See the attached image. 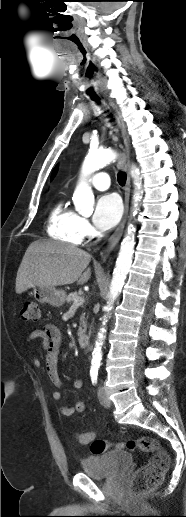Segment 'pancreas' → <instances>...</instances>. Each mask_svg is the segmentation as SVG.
Masks as SVG:
<instances>
[{
	"mask_svg": "<svg viewBox=\"0 0 186 517\" xmlns=\"http://www.w3.org/2000/svg\"><path fill=\"white\" fill-rule=\"evenodd\" d=\"M79 297H80V294H78L77 292L69 293V295H67V297H66V301H67V303L71 304L72 302H74V299L79 298ZM80 325H81V327L79 328L80 333L81 334L85 333L87 325H86L84 315H82L80 317Z\"/></svg>",
	"mask_w": 186,
	"mask_h": 517,
	"instance_id": "obj_1",
	"label": "pancreas"
}]
</instances>
